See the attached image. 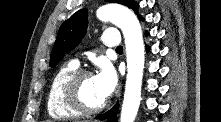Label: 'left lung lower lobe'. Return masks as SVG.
Listing matches in <instances>:
<instances>
[{"label": "left lung lower lobe", "mask_w": 221, "mask_h": 122, "mask_svg": "<svg viewBox=\"0 0 221 122\" xmlns=\"http://www.w3.org/2000/svg\"><path fill=\"white\" fill-rule=\"evenodd\" d=\"M138 4L136 3L133 6V10L135 11L136 14H138ZM140 20L143 21V18L141 16H139ZM146 35H148V33L146 32ZM147 50H149V47L147 46ZM119 108V103L117 102L116 105H114L109 111H107L106 113L97 116V119H107V122H117V111Z\"/></svg>", "instance_id": "0a47b994"}]
</instances>
